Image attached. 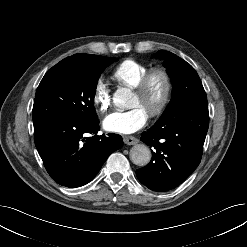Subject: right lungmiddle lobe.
<instances>
[{
  "instance_id": "obj_1",
  "label": "right lung middle lobe",
  "mask_w": 247,
  "mask_h": 247,
  "mask_svg": "<svg viewBox=\"0 0 247 247\" xmlns=\"http://www.w3.org/2000/svg\"><path fill=\"white\" fill-rule=\"evenodd\" d=\"M115 60L96 56L86 62L58 63L49 69L36 91L33 122L70 115L86 120L98 118L94 108L97 81Z\"/></svg>"
}]
</instances>
